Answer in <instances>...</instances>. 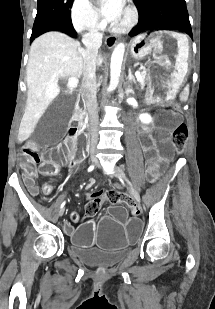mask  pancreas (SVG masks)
I'll return each mask as SVG.
<instances>
[{"instance_id":"cf45deb5","label":"pancreas","mask_w":215,"mask_h":309,"mask_svg":"<svg viewBox=\"0 0 215 309\" xmlns=\"http://www.w3.org/2000/svg\"><path fill=\"white\" fill-rule=\"evenodd\" d=\"M140 74H141L142 78H141V80H139V84L143 88V86H145V84L147 82V78H146L147 72H140Z\"/></svg>"}]
</instances>
